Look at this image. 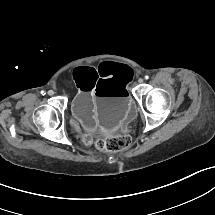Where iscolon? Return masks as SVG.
<instances>
[{
    "label": "colon",
    "mask_w": 215,
    "mask_h": 215,
    "mask_svg": "<svg viewBox=\"0 0 215 215\" xmlns=\"http://www.w3.org/2000/svg\"><path fill=\"white\" fill-rule=\"evenodd\" d=\"M129 145V138L125 135H114L96 140V147L100 150L116 151Z\"/></svg>",
    "instance_id": "colon-1"
}]
</instances>
